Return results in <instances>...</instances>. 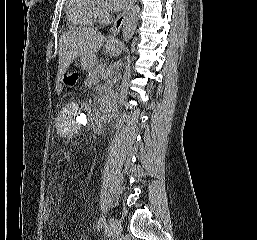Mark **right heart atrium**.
Instances as JSON below:
<instances>
[{
	"label": "right heart atrium",
	"instance_id": "d8ad5b80",
	"mask_svg": "<svg viewBox=\"0 0 257 240\" xmlns=\"http://www.w3.org/2000/svg\"><path fill=\"white\" fill-rule=\"evenodd\" d=\"M99 20L106 21L109 18V8L106 4L100 3L97 9Z\"/></svg>",
	"mask_w": 257,
	"mask_h": 240
}]
</instances>
